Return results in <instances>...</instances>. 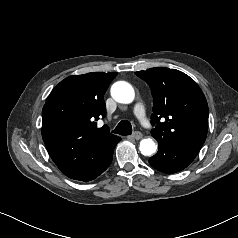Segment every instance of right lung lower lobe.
Returning a JSON list of instances; mask_svg holds the SVG:
<instances>
[{
	"label": "right lung lower lobe",
	"mask_w": 238,
	"mask_h": 238,
	"mask_svg": "<svg viewBox=\"0 0 238 238\" xmlns=\"http://www.w3.org/2000/svg\"><path fill=\"white\" fill-rule=\"evenodd\" d=\"M117 143L109 150V152L106 155H104L103 161H102V164L100 165V167L94 173H92L90 176L82 179V181H90V180L95 179L97 176H99L102 172H104L109 167V165L112 162L113 151H114V148L117 145Z\"/></svg>",
	"instance_id": "98d812e1"
}]
</instances>
